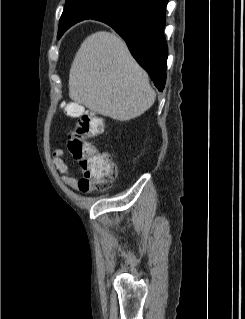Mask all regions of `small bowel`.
<instances>
[{
  "instance_id": "1",
  "label": "small bowel",
  "mask_w": 245,
  "mask_h": 319,
  "mask_svg": "<svg viewBox=\"0 0 245 319\" xmlns=\"http://www.w3.org/2000/svg\"><path fill=\"white\" fill-rule=\"evenodd\" d=\"M53 164L56 169H58L63 175H62V180L63 182L70 186L73 189H78L79 188V179L74 176L64 159V151L61 148H54L53 150Z\"/></svg>"
}]
</instances>
